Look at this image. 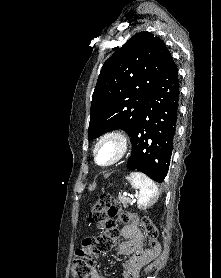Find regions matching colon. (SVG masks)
<instances>
[{"label": "colon", "instance_id": "5ec220e1", "mask_svg": "<svg viewBox=\"0 0 221 278\" xmlns=\"http://www.w3.org/2000/svg\"><path fill=\"white\" fill-rule=\"evenodd\" d=\"M119 216L125 224L131 221V214L122 209L119 202L110 195H102L89 214V222L99 226L103 232L98 236L86 237L81 246L76 250L72 264L73 278H90L93 258L97 254L108 252L114 245L119 231L113 221ZM141 226L148 239L147 252L157 254L158 230L149 219H143Z\"/></svg>", "mask_w": 221, "mask_h": 278}]
</instances>
